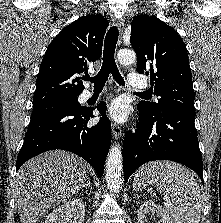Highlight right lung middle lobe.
<instances>
[{
	"label": "right lung middle lobe",
	"instance_id": "right-lung-middle-lobe-1",
	"mask_svg": "<svg viewBox=\"0 0 221 223\" xmlns=\"http://www.w3.org/2000/svg\"><path fill=\"white\" fill-rule=\"evenodd\" d=\"M82 108L83 107L78 102V97L60 99L45 103L34 104L31 117H35L52 111H58V110L75 111V110H80Z\"/></svg>",
	"mask_w": 221,
	"mask_h": 223
}]
</instances>
